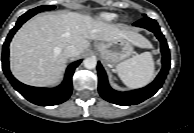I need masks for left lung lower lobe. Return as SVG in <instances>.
<instances>
[{"instance_id": "obj_1", "label": "left lung lower lobe", "mask_w": 194, "mask_h": 133, "mask_svg": "<svg viewBox=\"0 0 194 133\" xmlns=\"http://www.w3.org/2000/svg\"><path fill=\"white\" fill-rule=\"evenodd\" d=\"M134 26L148 29L149 31L153 32L160 41L162 52V69L156 79L148 86L129 92H118L109 86L106 73L100 62H98V91L101 97L108 102L122 106L136 105L153 96L161 88L170 68L169 48L156 20L149 17H144L135 22Z\"/></svg>"}]
</instances>
